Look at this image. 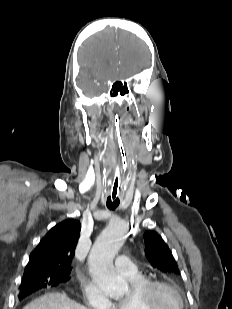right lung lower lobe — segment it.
<instances>
[{
    "label": "right lung lower lobe",
    "mask_w": 232,
    "mask_h": 309,
    "mask_svg": "<svg viewBox=\"0 0 232 309\" xmlns=\"http://www.w3.org/2000/svg\"><path fill=\"white\" fill-rule=\"evenodd\" d=\"M37 289H35V287L33 286H28V287H24L20 293H19V299H23L27 296H29L30 294H32L33 292H35Z\"/></svg>",
    "instance_id": "obj_1"
}]
</instances>
